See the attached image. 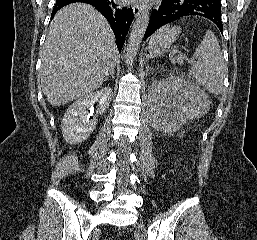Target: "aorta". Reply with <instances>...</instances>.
Wrapping results in <instances>:
<instances>
[{
  "label": "aorta",
  "mask_w": 257,
  "mask_h": 240,
  "mask_svg": "<svg viewBox=\"0 0 257 240\" xmlns=\"http://www.w3.org/2000/svg\"><path fill=\"white\" fill-rule=\"evenodd\" d=\"M149 20H150L149 10L144 9L138 15L136 21L134 22V24L132 26L129 40H128L127 47H126V53H125V59L128 64L132 63L134 61V58L137 55L139 46L144 37Z\"/></svg>",
  "instance_id": "aorta-1"
}]
</instances>
